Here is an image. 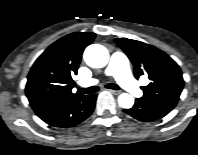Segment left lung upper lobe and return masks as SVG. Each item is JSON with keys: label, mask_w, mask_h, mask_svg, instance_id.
I'll return each instance as SVG.
<instances>
[{"label": "left lung upper lobe", "mask_w": 198, "mask_h": 155, "mask_svg": "<svg viewBox=\"0 0 198 155\" xmlns=\"http://www.w3.org/2000/svg\"><path fill=\"white\" fill-rule=\"evenodd\" d=\"M115 42L132 61L135 77L145 74L151 81L141 87L144 95L140 99L176 105L184 85L177 63L163 51L146 43L127 38H117Z\"/></svg>", "instance_id": "1"}]
</instances>
